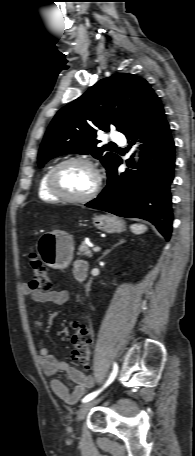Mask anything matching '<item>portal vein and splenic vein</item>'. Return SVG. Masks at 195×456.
Wrapping results in <instances>:
<instances>
[{"label": "portal vein and splenic vein", "instance_id": "1", "mask_svg": "<svg viewBox=\"0 0 195 456\" xmlns=\"http://www.w3.org/2000/svg\"><path fill=\"white\" fill-rule=\"evenodd\" d=\"M100 250H101L100 247H94V248H93V251H94V252H99Z\"/></svg>", "mask_w": 195, "mask_h": 456}]
</instances>
